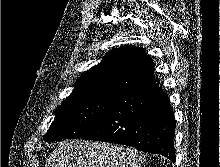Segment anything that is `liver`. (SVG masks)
Segmentation results:
<instances>
[{
  "instance_id": "6515ba94",
  "label": "liver",
  "mask_w": 220,
  "mask_h": 167,
  "mask_svg": "<svg viewBox=\"0 0 220 167\" xmlns=\"http://www.w3.org/2000/svg\"><path fill=\"white\" fill-rule=\"evenodd\" d=\"M145 155L137 150L105 142H58L45 167H142Z\"/></svg>"
}]
</instances>
